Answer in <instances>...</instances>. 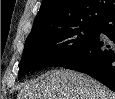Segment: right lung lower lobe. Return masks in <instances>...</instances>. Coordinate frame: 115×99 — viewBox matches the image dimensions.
<instances>
[{
  "mask_svg": "<svg viewBox=\"0 0 115 99\" xmlns=\"http://www.w3.org/2000/svg\"><path fill=\"white\" fill-rule=\"evenodd\" d=\"M100 33L107 38L100 37ZM63 67L85 73L115 92V13L99 23L93 41Z\"/></svg>",
  "mask_w": 115,
  "mask_h": 99,
  "instance_id": "1",
  "label": "right lung lower lobe"
}]
</instances>
